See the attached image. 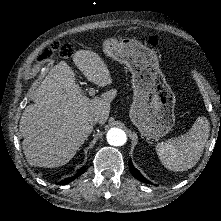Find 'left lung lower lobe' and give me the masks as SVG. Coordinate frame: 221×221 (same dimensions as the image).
<instances>
[{"instance_id":"obj_1","label":"left lung lower lobe","mask_w":221,"mask_h":221,"mask_svg":"<svg viewBox=\"0 0 221 221\" xmlns=\"http://www.w3.org/2000/svg\"><path fill=\"white\" fill-rule=\"evenodd\" d=\"M129 169L131 174L138 180L144 182V183H149L152 184L150 181L146 180L142 174L133 166L131 160H129Z\"/></svg>"}]
</instances>
